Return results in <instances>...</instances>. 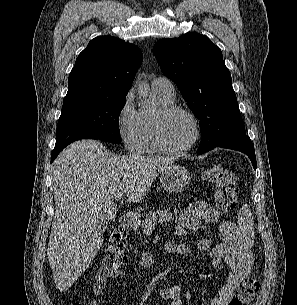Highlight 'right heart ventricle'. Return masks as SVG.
Listing matches in <instances>:
<instances>
[{
    "label": "right heart ventricle",
    "mask_w": 297,
    "mask_h": 305,
    "mask_svg": "<svg viewBox=\"0 0 297 305\" xmlns=\"http://www.w3.org/2000/svg\"><path fill=\"white\" fill-rule=\"evenodd\" d=\"M157 100L161 107L169 106L174 99H169L164 95L155 92ZM154 115L146 112L140 113V130L136 140L135 150L138 153L153 154L159 152L152 140V121Z\"/></svg>",
    "instance_id": "e07e8e85"
}]
</instances>
